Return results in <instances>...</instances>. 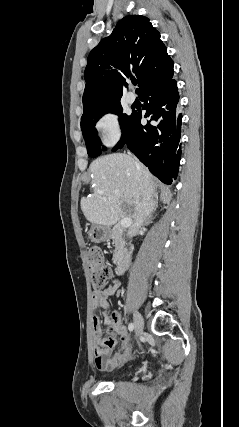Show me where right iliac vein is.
<instances>
[{"label": "right iliac vein", "instance_id": "63e3f726", "mask_svg": "<svg viewBox=\"0 0 239 427\" xmlns=\"http://www.w3.org/2000/svg\"><path fill=\"white\" fill-rule=\"evenodd\" d=\"M134 326L136 336H140L144 328V320L142 315L139 312L134 313Z\"/></svg>", "mask_w": 239, "mask_h": 427}]
</instances>
